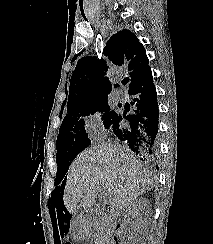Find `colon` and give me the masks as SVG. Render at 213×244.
<instances>
[{
    "instance_id": "obj_1",
    "label": "colon",
    "mask_w": 213,
    "mask_h": 244,
    "mask_svg": "<svg viewBox=\"0 0 213 244\" xmlns=\"http://www.w3.org/2000/svg\"><path fill=\"white\" fill-rule=\"evenodd\" d=\"M63 244H73V243H72V242L67 241V242H64Z\"/></svg>"
}]
</instances>
